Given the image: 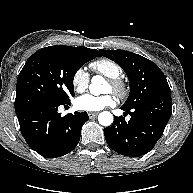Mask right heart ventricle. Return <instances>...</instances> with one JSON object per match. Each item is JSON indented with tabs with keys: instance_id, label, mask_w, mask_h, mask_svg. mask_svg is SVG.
<instances>
[{
	"instance_id": "e07e8e85",
	"label": "right heart ventricle",
	"mask_w": 193,
	"mask_h": 193,
	"mask_svg": "<svg viewBox=\"0 0 193 193\" xmlns=\"http://www.w3.org/2000/svg\"><path fill=\"white\" fill-rule=\"evenodd\" d=\"M95 73L101 74L107 78H120L123 74L122 67L114 60L102 58L90 64Z\"/></svg>"
}]
</instances>
